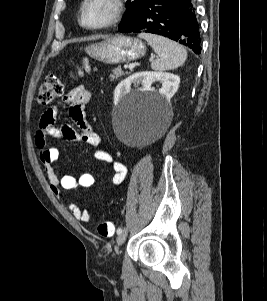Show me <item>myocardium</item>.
Returning a JSON list of instances; mask_svg holds the SVG:
<instances>
[{
	"label": "myocardium",
	"instance_id": "f54148a6",
	"mask_svg": "<svg viewBox=\"0 0 267 301\" xmlns=\"http://www.w3.org/2000/svg\"><path fill=\"white\" fill-rule=\"evenodd\" d=\"M89 2H90V0H83L81 3L80 23L84 28L90 29V30H101V29H105V28H108V27L116 24L121 19L123 12H124V8H125L123 0H109V2L112 5V9H113L110 17L102 23H99L96 25H89L85 22V9Z\"/></svg>",
	"mask_w": 267,
	"mask_h": 301
}]
</instances>
